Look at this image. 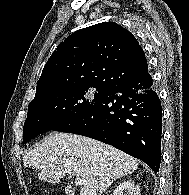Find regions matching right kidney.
<instances>
[{"instance_id":"obj_1","label":"right kidney","mask_w":189,"mask_h":195,"mask_svg":"<svg viewBox=\"0 0 189 195\" xmlns=\"http://www.w3.org/2000/svg\"><path fill=\"white\" fill-rule=\"evenodd\" d=\"M125 192H127L128 195H140L139 186L131 180L119 184L113 191V195H125Z\"/></svg>"}]
</instances>
